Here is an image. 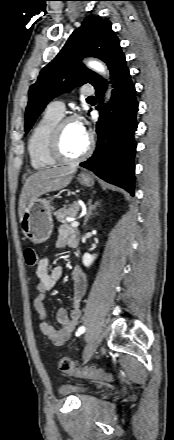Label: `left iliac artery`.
Segmentation results:
<instances>
[{
    "label": "left iliac artery",
    "instance_id": "44dca946",
    "mask_svg": "<svg viewBox=\"0 0 174 440\" xmlns=\"http://www.w3.org/2000/svg\"><path fill=\"white\" fill-rule=\"evenodd\" d=\"M85 332V327L81 326L78 328L77 332H76V336H80L81 334H83Z\"/></svg>",
    "mask_w": 174,
    "mask_h": 440
}]
</instances>
